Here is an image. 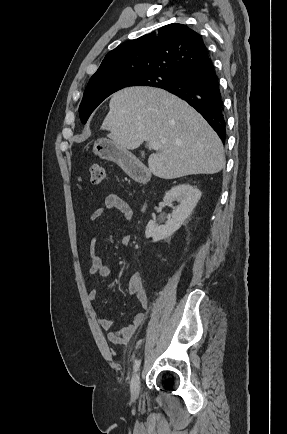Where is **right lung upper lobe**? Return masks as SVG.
<instances>
[{
  "label": "right lung upper lobe",
  "instance_id": "1",
  "mask_svg": "<svg viewBox=\"0 0 287 434\" xmlns=\"http://www.w3.org/2000/svg\"><path fill=\"white\" fill-rule=\"evenodd\" d=\"M207 57L197 32L184 24H168L110 51L90 81L146 73L179 75Z\"/></svg>",
  "mask_w": 287,
  "mask_h": 434
}]
</instances>
